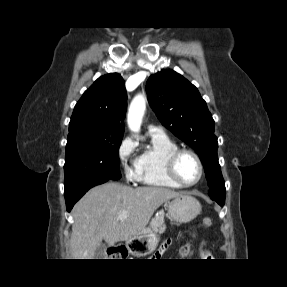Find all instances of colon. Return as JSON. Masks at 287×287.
<instances>
[{"label":"colon","instance_id":"obj_1","mask_svg":"<svg viewBox=\"0 0 287 287\" xmlns=\"http://www.w3.org/2000/svg\"><path fill=\"white\" fill-rule=\"evenodd\" d=\"M211 225H212L211 218L204 216L200 219V222H199L200 229L206 230L210 228ZM190 251H191V245L190 243H186L181 246L179 253L181 257H187L190 254ZM110 254L113 257H125L127 254V250L124 247L119 246V247L114 248L110 252Z\"/></svg>","mask_w":287,"mask_h":287}]
</instances>
